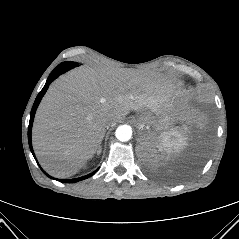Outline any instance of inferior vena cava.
<instances>
[{
  "instance_id": "inferior-vena-cava-1",
  "label": "inferior vena cava",
  "mask_w": 239,
  "mask_h": 239,
  "mask_svg": "<svg viewBox=\"0 0 239 239\" xmlns=\"http://www.w3.org/2000/svg\"><path fill=\"white\" fill-rule=\"evenodd\" d=\"M113 124V118H107L105 120V126H110Z\"/></svg>"
}]
</instances>
